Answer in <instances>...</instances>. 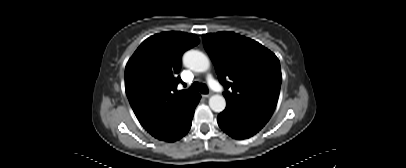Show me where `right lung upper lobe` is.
<instances>
[{
  "mask_svg": "<svg viewBox=\"0 0 406 168\" xmlns=\"http://www.w3.org/2000/svg\"><path fill=\"white\" fill-rule=\"evenodd\" d=\"M195 34L163 32L147 38L125 68V90L141 125L161 137L197 94L177 91L182 54L196 46Z\"/></svg>",
  "mask_w": 406,
  "mask_h": 168,
  "instance_id": "obj_1",
  "label": "right lung upper lobe"
}]
</instances>
